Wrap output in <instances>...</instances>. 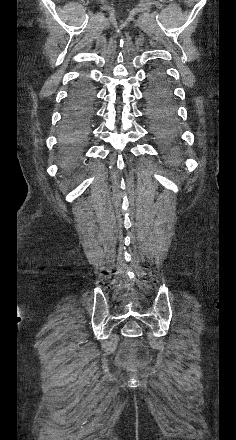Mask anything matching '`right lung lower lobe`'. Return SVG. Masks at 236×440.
<instances>
[{"instance_id":"1","label":"right lung lower lobe","mask_w":236,"mask_h":440,"mask_svg":"<svg viewBox=\"0 0 236 440\" xmlns=\"http://www.w3.org/2000/svg\"><path fill=\"white\" fill-rule=\"evenodd\" d=\"M86 85L87 84L80 83L71 91L68 105L63 115V128H68L78 124L80 118L79 110L82 105V99L79 97L71 98V96L73 93L77 94V91Z\"/></svg>"}]
</instances>
